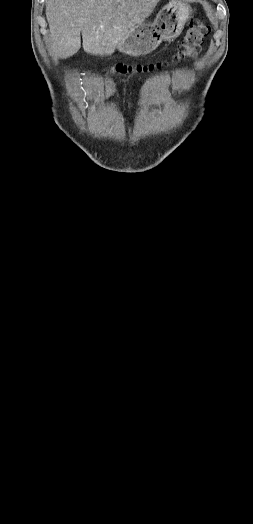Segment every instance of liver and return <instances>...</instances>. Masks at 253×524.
I'll use <instances>...</instances> for the list:
<instances>
[{
  "label": "liver",
  "instance_id": "obj_1",
  "mask_svg": "<svg viewBox=\"0 0 253 524\" xmlns=\"http://www.w3.org/2000/svg\"><path fill=\"white\" fill-rule=\"evenodd\" d=\"M159 0H48L52 54L68 58L81 47L92 55H111L142 23Z\"/></svg>",
  "mask_w": 253,
  "mask_h": 524
}]
</instances>
